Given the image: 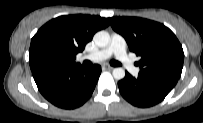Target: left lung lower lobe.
I'll return each mask as SVG.
<instances>
[{
  "instance_id": "0a47b994",
  "label": "left lung lower lobe",
  "mask_w": 203,
  "mask_h": 123,
  "mask_svg": "<svg viewBox=\"0 0 203 123\" xmlns=\"http://www.w3.org/2000/svg\"><path fill=\"white\" fill-rule=\"evenodd\" d=\"M177 81L168 75L139 72L135 78L126 72L118 87L121 95L132 105L150 107L161 102Z\"/></svg>"
}]
</instances>
